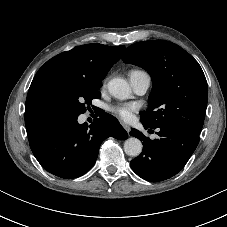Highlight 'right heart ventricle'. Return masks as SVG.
Masks as SVG:
<instances>
[{
  "label": "right heart ventricle",
  "instance_id": "e07e8e85",
  "mask_svg": "<svg viewBox=\"0 0 227 227\" xmlns=\"http://www.w3.org/2000/svg\"><path fill=\"white\" fill-rule=\"evenodd\" d=\"M134 72H140V70H133L131 73H134Z\"/></svg>",
  "mask_w": 227,
  "mask_h": 227
}]
</instances>
